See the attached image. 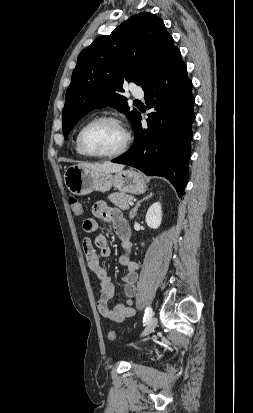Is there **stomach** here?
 I'll return each mask as SVG.
<instances>
[{"mask_svg": "<svg viewBox=\"0 0 253 413\" xmlns=\"http://www.w3.org/2000/svg\"><path fill=\"white\" fill-rule=\"evenodd\" d=\"M64 183L74 195H88L93 191L107 192L112 187L123 193L141 194L146 191L144 177L128 169L115 173L96 172L78 165L69 166L64 173Z\"/></svg>", "mask_w": 253, "mask_h": 413, "instance_id": "obj_1", "label": "stomach"}]
</instances>
